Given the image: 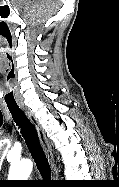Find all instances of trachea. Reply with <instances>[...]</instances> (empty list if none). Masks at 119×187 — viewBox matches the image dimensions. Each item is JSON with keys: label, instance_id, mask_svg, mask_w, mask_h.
Here are the masks:
<instances>
[{"label": "trachea", "instance_id": "trachea-1", "mask_svg": "<svg viewBox=\"0 0 119 187\" xmlns=\"http://www.w3.org/2000/svg\"><path fill=\"white\" fill-rule=\"evenodd\" d=\"M16 124L21 129V133L25 139L27 147L34 159L38 170L42 177L46 180L51 179V169L48 164L45 153L41 147L37 131L31 121L18 105H7Z\"/></svg>", "mask_w": 119, "mask_h": 187}]
</instances>
